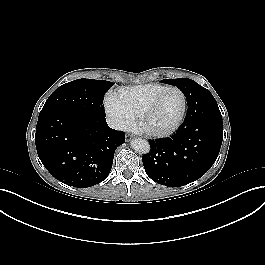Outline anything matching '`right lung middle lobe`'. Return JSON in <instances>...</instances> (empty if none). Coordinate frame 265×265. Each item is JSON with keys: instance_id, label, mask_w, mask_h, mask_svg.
<instances>
[{"instance_id": "obj_1", "label": "right lung middle lobe", "mask_w": 265, "mask_h": 265, "mask_svg": "<svg viewBox=\"0 0 265 265\" xmlns=\"http://www.w3.org/2000/svg\"><path fill=\"white\" fill-rule=\"evenodd\" d=\"M112 85L110 81L93 79H77L63 84L49 96L41 111L69 109L105 116L103 99Z\"/></svg>"}]
</instances>
